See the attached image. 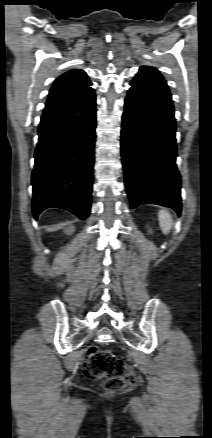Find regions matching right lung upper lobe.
I'll return each instance as SVG.
<instances>
[{
	"mask_svg": "<svg viewBox=\"0 0 212 438\" xmlns=\"http://www.w3.org/2000/svg\"><path fill=\"white\" fill-rule=\"evenodd\" d=\"M83 70H71L57 78L50 89L46 107L78 102L95 94Z\"/></svg>",
	"mask_w": 212,
	"mask_h": 438,
	"instance_id": "right-lung-upper-lobe-1",
	"label": "right lung upper lobe"
}]
</instances>
